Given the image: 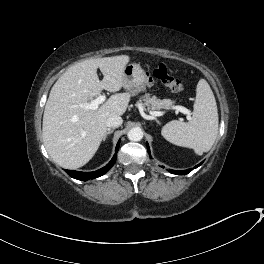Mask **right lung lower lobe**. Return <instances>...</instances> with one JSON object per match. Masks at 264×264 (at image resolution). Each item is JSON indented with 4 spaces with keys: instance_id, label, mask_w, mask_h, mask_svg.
Returning a JSON list of instances; mask_svg holds the SVG:
<instances>
[{
    "instance_id": "right-lung-lower-lobe-1",
    "label": "right lung lower lobe",
    "mask_w": 264,
    "mask_h": 264,
    "mask_svg": "<svg viewBox=\"0 0 264 264\" xmlns=\"http://www.w3.org/2000/svg\"><path fill=\"white\" fill-rule=\"evenodd\" d=\"M119 144H120V140L118 141L117 145H116V153L119 149ZM114 154L113 158L111 159V161L103 168L97 170V171H93V172H79V171H73V170H66L67 174L69 176H71L72 178L81 180V181H86L88 179H94L97 177L102 176L103 174H105L115 163L116 158H117V154Z\"/></svg>"
}]
</instances>
